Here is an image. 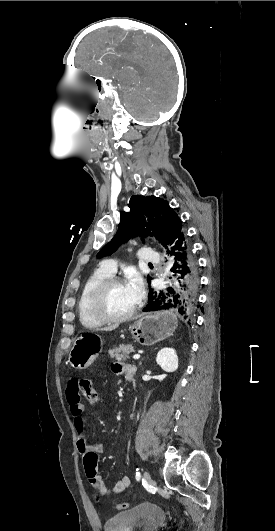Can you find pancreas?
<instances>
[{
	"label": "pancreas",
	"mask_w": 275,
	"mask_h": 531,
	"mask_svg": "<svg viewBox=\"0 0 275 531\" xmlns=\"http://www.w3.org/2000/svg\"><path fill=\"white\" fill-rule=\"evenodd\" d=\"M130 353H134V347L132 345H119V347L109 349L110 357L116 359V361H127L129 359L127 355H130Z\"/></svg>",
	"instance_id": "1"
}]
</instances>
